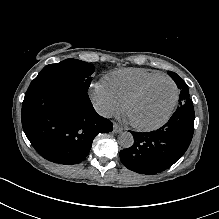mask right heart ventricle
I'll use <instances>...</instances> for the list:
<instances>
[{
  "instance_id": "e07e8e85",
  "label": "right heart ventricle",
  "mask_w": 219,
  "mask_h": 219,
  "mask_svg": "<svg viewBox=\"0 0 219 219\" xmlns=\"http://www.w3.org/2000/svg\"><path fill=\"white\" fill-rule=\"evenodd\" d=\"M162 76L158 72L126 68L112 72L106 78V84L116 99L124 105L141 87Z\"/></svg>"
}]
</instances>
